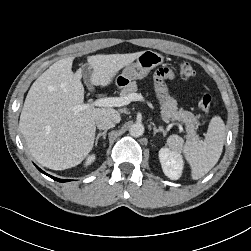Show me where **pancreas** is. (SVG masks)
Listing matches in <instances>:
<instances>
[{"label":"pancreas","instance_id":"pancreas-1","mask_svg":"<svg viewBox=\"0 0 251 251\" xmlns=\"http://www.w3.org/2000/svg\"><path fill=\"white\" fill-rule=\"evenodd\" d=\"M137 90V84L135 81H133L121 90L120 95L124 97L129 94L135 93ZM160 109L161 116L167 122L169 120L180 121L186 125L187 139L198 138V135L196 134V129L198 128L200 123L198 122L197 117L189 111H184L183 109L178 110L177 101L173 97H171L170 95L164 96L161 100Z\"/></svg>","mask_w":251,"mask_h":251}]
</instances>
